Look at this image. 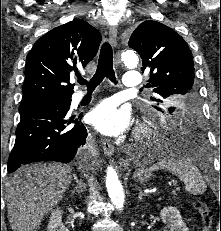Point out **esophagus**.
<instances>
[{
  "mask_svg": "<svg viewBox=\"0 0 221 231\" xmlns=\"http://www.w3.org/2000/svg\"><path fill=\"white\" fill-rule=\"evenodd\" d=\"M117 35H118L117 26L111 25L109 27V40H110V43L112 44V46H116V44H117ZM102 147H103L105 155H107V156L113 155L114 146L112 145V143L109 140L103 139L102 140Z\"/></svg>",
  "mask_w": 221,
  "mask_h": 231,
  "instance_id": "1",
  "label": "esophagus"
}]
</instances>
